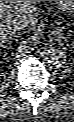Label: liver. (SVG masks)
<instances>
[{
	"label": "liver",
	"instance_id": "6515ba94",
	"mask_svg": "<svg viewBox=\"0 0 74 122\" xmlns=\"http://www.w3.org/2000/svg\"><path fill=\"white\" fill-rule=\"evenodd\" d=\"M39 1H9L0 4V41L4 43L11 34L10 25L14 18H23L28 23V29H33L38 22L39 8L36 6Z\"/></svg>",
	"mask_w": 74,
	"mask_h": 122
}]
</instances>
